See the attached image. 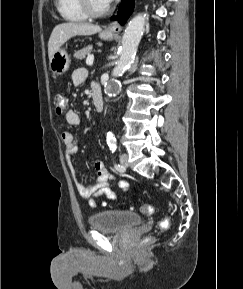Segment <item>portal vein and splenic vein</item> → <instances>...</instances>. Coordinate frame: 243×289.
Wrapping results in <instances>:
<instances>
[{"label":"portal vein and splenic vein","mask_w":243,"mask_h":289,"mask_svg":"<svg viewBox=\"0 0 243 289\" xmlns=\"http://www.w3.org/2000/svg\"><path fill=\"white\" fill-rule=\"evenodd\" d=\"M93 61H94V56H93V55H89V56L87 57V59H86V64H87L88 66H91V65H93Z\"/></svg>","instance_id":"18ae733b"}]
</instances>
